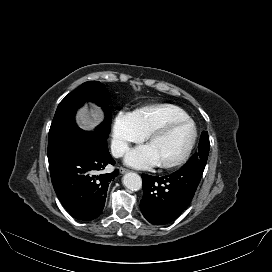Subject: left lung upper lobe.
<instances>
[{"label":"left lung upper lobe","mask_w":272,"mask_h":272,"mask_svg":"<svg viewBox=\"0 0 272 272\" xmlns=\"http://www.w3.org/2000/svg\"><path fill=\"white\" fill-rule=\"evenodd\" d=\"M208 132H202L198 146V152L195 153L183 167L202 166L205 167L209 154Z\"/></svg>","instance_id":"obj_1"}]
</instances>
